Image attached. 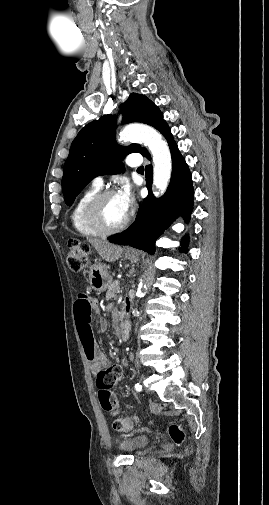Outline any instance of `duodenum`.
<instances>
[{"mask_svg": "<svg viewBox=\"0 0 269 505\" xmlns=\"http://www.w3.org/2000/svg\"><path fill=\"white\" fill-rule=\"evenodd\" d=\"M130 322L127 318H122L118 326V337L120 341H126L129 337Z\"/></svg>", "mask_w": 269, "mask_h": 505, "instance_id": "duodenum-1", "label": "duodenum"}]
</instances>
